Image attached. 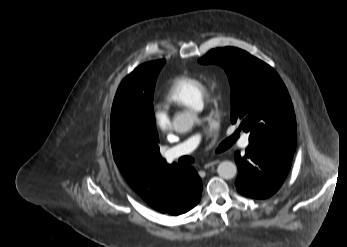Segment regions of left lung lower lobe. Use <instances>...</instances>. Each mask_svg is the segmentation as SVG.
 Wrapping results in <instances>:
<instances>
[{
  "label": "left lung lower lobe",
  "instance_id": "1",
  "mask_svg": "<svg viewBox=\"0 0 347 247\" xmlns=\"http://www.w3.org/2000/svg\"><path fill=\"white\" fill-rule=\"evenodd\" d=\"M295 149L272 144L249 145L241 156L234 158L238 165L237 190L248 197L265 199L276 193L283 184Z\"/></svg>",
  "mask_w": 347,
  "mask_h": 247
}]
</instances>
